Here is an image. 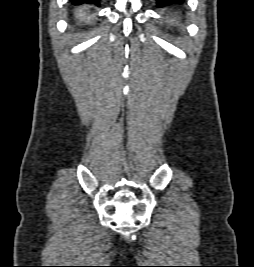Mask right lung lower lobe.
<instances>
[{
    "label": "right lung lower lobe",
    "instance_id": "right-lung-lower-lobe-1",
    "mask_svg": "<svg viewBox=\"0 0 254 267\" xmlns=\"http://www.w3.org/2000/svg\"><path fill=\"white\" fill-rule=\"evenodd\" d=\"M73 3L75 4H79V3H82V2H90V3H95V4H98L99 5V2L98 0H71Z\"/></svg>",
    "mask_w": 254,
    "mask_h": 267
}]
</instances>
